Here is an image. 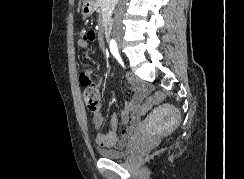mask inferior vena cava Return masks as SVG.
<instances>
[{"label": "inferior vena cava", "instance_id": "obj_1", "mask_svg": "<svg viewBox=\"0 0 244 179\" xmlns=\"http://www.w3.org/2000/svg\"><path fill=\"white\" fill-rule=\"evenodd\" d=\"M120 16H122L121 12L117 10L115 14V22H114V32H122V22L120 20Z\"/></svg>", "mask_w": 244, "mask_h": 179}]
</instances>
